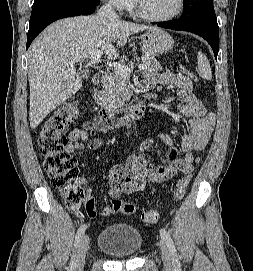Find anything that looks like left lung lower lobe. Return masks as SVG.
Returning <instances> with one entry per match:
<instances>
[{
	"instance_id": "obj_1",
	"label": "left lung lower lobe",
	"mask_w": 253,
	"mask_h": 271,
	"mask_svg": "<svg viewBox=\"0 0 253 271\" xmlns=\"http://www.w3.org/2000/svg\"><path fill=\"white\" fill-rule=\"evenodd\" d=\"M158 26L172 30L188 31L203 37L212 47L214 56L217 59L219 50V27L215 11L190 22H183L179 19L166 24H158Z\"/></svg>"
}]
</instances>
